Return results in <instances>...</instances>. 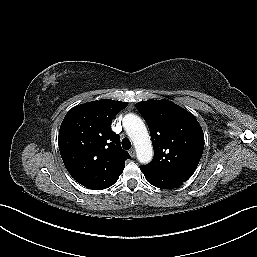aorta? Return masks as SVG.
<instances>
[{
  "label": "aorta",
  "instance_id": "1",
  "mask_svg": "<svg viewBox=\"0 0 257 257\" xmlns=\"http://www.w3.org/2000/svg\"><path fill=\"white\" fill-rule=\"evenodd\" d=\"M123 126L135 146L139 162L149 163L153 158V148L142 119L135 114H127L123 119Z\"/></svg>",
  "mask_w": 257,
  "mask_h": 257
}]
</instances>
